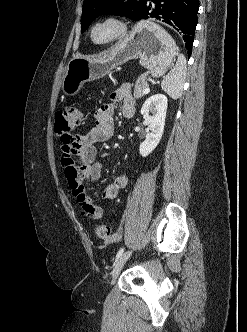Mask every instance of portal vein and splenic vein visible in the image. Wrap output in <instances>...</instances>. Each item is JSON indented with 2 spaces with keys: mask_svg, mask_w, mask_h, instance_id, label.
Returning <instances> with one entry per match:
<instances>
[{
  "mask_svg": "<svg viewBox=\"0 0 247 332\" xmlns=\"http://www.w3.org/2000/svg\"><path fill=\"white\" fill-rule=\"evenodd\" d=\"M149 91H150V89L147 87L143 90V94H147V93H149Z\"/></svg>",
  "mask_w": 247,
  "mask_h": 332,
  "instance_id": "portal-vein-and-splenic-vein-1",
  "label": "portal vein and splenic vein"
}]
</instances>
